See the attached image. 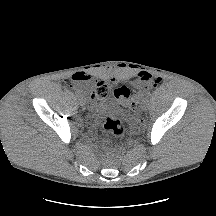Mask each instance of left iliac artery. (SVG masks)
I'll list each match as a JSON object with an SVG mask.
<instances>
[{
	"label": "left iliac artery",
	"instance_id": "1",
	"mask_svg": "<svg viewBox=\"0 0 216 216\" xmlns=\"http://www.w3.org/2000/svg\"><path fill=\"white\" fill-rule=\"evenodd\" d=\"M150 100L147 98V99H145L143 102L146 104V103H148Z\"/></svg>",
	"mask_w": 216,
	"mask_h": 216
}]
</instances>
